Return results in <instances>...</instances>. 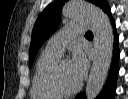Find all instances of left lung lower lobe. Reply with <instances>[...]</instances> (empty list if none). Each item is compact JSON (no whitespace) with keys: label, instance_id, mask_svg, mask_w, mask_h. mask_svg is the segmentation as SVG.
Listing matches in <instances>:
<instances>
[{"label":"left lung lower lobe","instance_id":"left-lung-lower-lobe-1","mask_svg":"<svg viewBox=\"0 0 128 99\" xmlns=\"http://www.w3.org/2000/svg\"><path fill=\"white\" fill-rule=\"evenodd\" d=\"M100 7L105 11L108 15H111V11L107 5L106 0H103V2L100 4ZM112 25L115 29V22L113 20ZM115 44H114V54H113V60L112 65L110 68V73L107 79V82L105 84V87L101 94L97 97V99H114V91L116 88V79L118 74V60H119V49H118V35L114 34ZM76 99H86L85 93H80L76 96Z\"/></svg>","mask_w":128,"mask_h":99}]
</instances>
